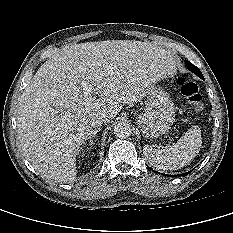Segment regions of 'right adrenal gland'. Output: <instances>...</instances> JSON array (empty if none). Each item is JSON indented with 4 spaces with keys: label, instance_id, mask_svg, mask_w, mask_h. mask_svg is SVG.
Here are the masks:
<instances>
[{
    "label": "right adrenal gland",
    "instance_id": "obj_1",
    "mask_svg": "<svg viewBox=\"0 0 233 233\" xmlns=\"http://www.w3.org/2000/svg\"><path fill=\"white\" fill-rule=\"evenodd\" d=\"M100 131V129H97L93 132L92 136L89 138V145H93V139L96 137L97 133Z\"/></svg>",
    "mask_w": 233,
    "mask_h": 233
}]
</instances>
